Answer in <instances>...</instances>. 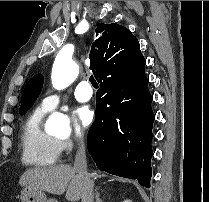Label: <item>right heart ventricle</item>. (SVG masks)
<instances>
[{"mask_svg": "<svg viewBox=\"0 0 209 202\" xmlns=\"http://www.w3.org/2000/svg\"><path fill=\"white\" fill-rule=\"evenodd\" d=\"M47 112L43 108L36 109L22 127L21 157L26 165L48 167L59 159L61 148L57 138L48 134L42 126L43 117Z\"/></svg>", "mask_w": 209, "mask_h": 202, "instance_id": "e07e8e85", "label": "right heart ventricle"}]
</instances>
